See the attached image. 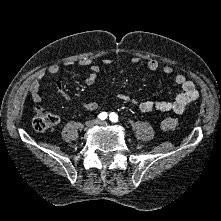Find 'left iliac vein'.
<instances>
[{
	"mask_svg": "<svg viewBox=\"0 0 221 221\" xmlns=\"http://www.w3.org/2000/svg\"><path fill=\"white\" fill-rule=\"evenodd\" d=\"M96 124H98V125H106L107 123L104 122V121H99V120H98Z\"/></svg>",
	"mask_w": 221,
	"mask_h": 221,
	"instance_id": "4c4485c4",
	"label": "left iliac vein"
}]
</instances>
